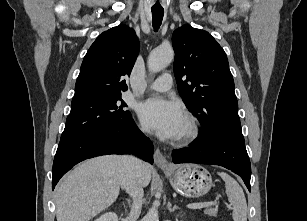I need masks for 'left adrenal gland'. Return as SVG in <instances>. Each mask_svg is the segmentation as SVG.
<instances>
[{"label":"left adrenal gland","instance_id":"left-adrenal-gland-1","mask_svg":"<svg viewBox=\"0 0 307 221\" xmlns=\"http://www.w3.org/2000/svg\"><path fill=\"white\" fill-rule=\"evenodd\" d=\"M179 209L180 208L178 206H176V205H174L172 207V204L170 202H168V210H169V212H174L175 210H179Z\"/></svg>","mask_w":307,"mask_h":221}]
</instances>
